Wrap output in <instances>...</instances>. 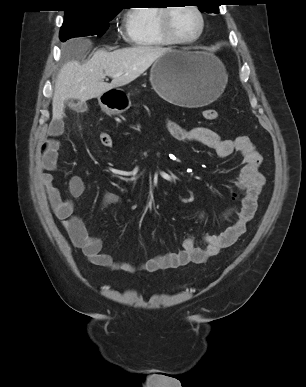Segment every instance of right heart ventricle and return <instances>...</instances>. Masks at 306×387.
I'll list each match as a JSON object with an SVG mask.
<instances>
[{
	"label": "right heart ventricle",
	"instance_id": "1",
	"mask_svg": "<svg viewBox=\"0 0 306 387\" xmlns=\"http://www.w3.org/2000/svg\"><path fill=\"white\" fill-rule=\"evenodd\" d=\"M161 7H137L127 12L123 32L125 40L133 46L158 48L170 45L159 26Z\"/></svg>",
	"mask_w": 306,
	"mask_h": 387
}]
</instances>
